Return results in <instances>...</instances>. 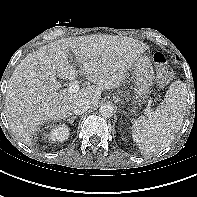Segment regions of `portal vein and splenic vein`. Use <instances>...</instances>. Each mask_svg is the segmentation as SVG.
Instances as JSON below:
<instances>
[{
    "label": "portal vein and splenic vein",
    "instance_id": "18ae733b",
    "mask_svg": "<svg viewBox=\"0 0 197 197\" xmlns=\"http://www.w3.org/2000/svg\"><path fill=\"white\" fill-rule=\"evenodd\" d=\"M79 89H80L79 84L74 82L68 87L67 92L73 94V93H77Z\"/></svg>",
    "mask_w": 197,
    "mask_h": 197
}]
</instances>
